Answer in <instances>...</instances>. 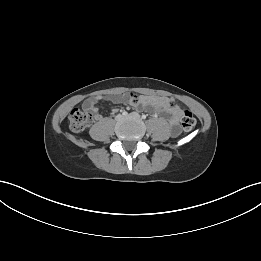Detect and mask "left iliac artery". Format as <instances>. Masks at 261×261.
Here are the masks:
<instances>
[{
  "instance_id": "left-iliac-artery-1",
  "label": "left iliac artery",
  "mask_w": 261,
  "mask_h": 261,
  "mask_svg": "<svg viewBox=\"0 0 261 261\" xmlns=\"http://www.w3.org/2000/svg\"><path fill=\"white\" fill-rule=\"evenodd\" d=\"M142 119H146V115L143 114V115H142Z\"/></svg>"
}]
</instances>
